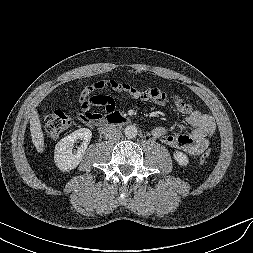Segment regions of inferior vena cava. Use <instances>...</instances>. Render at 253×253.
I'll return each mask as SVG.
<instances>
[{"label":"inferior vena cava","mask_w":253,"mask_h":253,"mask_svg":"<svg viewBox=\"0 0 253 253\" xmlns=\"http://www.w3.org/2000/svg\"><path fill=\"white\" fill-rule=\"evenodd\" d=\"M122 136V133L117 128H107L104 132V138L110 141L119 140Z\"/></svg>","instance_id":"inferior-vena-cava-1"}]
</instances>
